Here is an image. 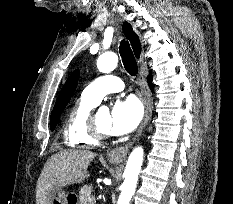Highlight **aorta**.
I'll return each instance as SVG.
<instances>
[{
	"instance_id": "aorta-1",
	"label": "aorta",
	"mask_w": 233,
	"mask_h": 204,
	"mask_svg": "<svg viewBox=\"0 0 233 204\" xmlns=\"http://www.w3.org/2000/svg\"><path fill=\"white\" fill-rule=\"evenodd\" d=\"M118 64V56L109 52L102 54L97 60V68L102 73H110ZM99 112H108V108L101 107ZM143 148L136 147L130 154L124 171V182L117 204H129L137 185L138 175L143 162Z\"/></svg>"
}]
</instances>
